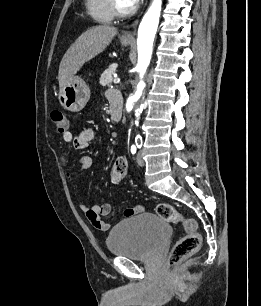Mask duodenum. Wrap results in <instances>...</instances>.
Segmentation results:
<instances>
[{
	"mask_svg": "<svg viewBox=\"0 0 261 306\" xmlns=\"http://www.w3.org/2000/svg\"><path fill=\"white\" fill-rule=\"evenodd\" d=\"M110 117L113 121L119 122L122 118V102L119 100H113L110 105Z\"/></svg>",
	"mask_w": 261,
	"mask_h": 306,
	"instance_id": "1",
	"label": "duodenum"
}]
</instances>
